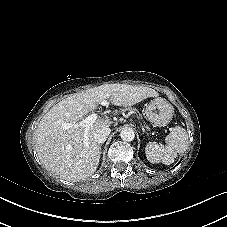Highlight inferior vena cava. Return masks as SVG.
Returning a JSON list of instances; mask_svg holds the SVG:
<instances>
[{
  "mask_svg": "<svg viewBox=\"0 0 227 227\" xmlns=\"http://www.w3.org/2000/svg\"><path fill=\"white\" fill-rule=\"evenodd\" d=\"M111 130L110 128L106 127V128H102V129H98L95 133H94V141L97 144H102L106 141V139L108 138L109 134H110Z\"/></svg>",
  "mask_w": 227,
  "mask_h": 227,
  "instance_id": "inferior-vena-cava-1",
  "label": "inferior vena cava"
}]
</instances>
